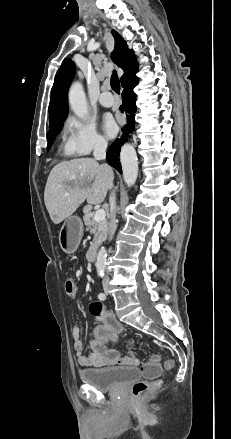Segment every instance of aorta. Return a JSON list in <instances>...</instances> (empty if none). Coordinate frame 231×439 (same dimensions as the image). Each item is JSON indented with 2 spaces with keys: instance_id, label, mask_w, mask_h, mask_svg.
Instances as JSON below:
<instances>
[{
  "instance_id": "obj_1",
  "label": "aorta",
  "mask_w": 231,
  "mask_h": 439,
  "mask_svg": "<svg viewBox=\"0 0 231 439\" xmlns=\"http://www.w3.org/2000/svg\"><path fill=\"white\" fill-rule=\"evenodd\" d=\"M68 99L74 114L79 118H86L88 115V104L84 88L80 82H75L71 85ZM120 160L125 183L128 187L133 186L138 176L137 155L133 145H123L120 152ZM95 266L98 276H104L107 267V250L105 247H101L99 250Z\"/></svg>"
}]
</instances>
